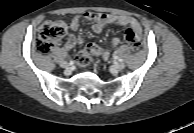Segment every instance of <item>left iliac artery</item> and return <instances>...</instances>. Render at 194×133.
Segmentation results:
<instances>
[{
    "label": "left iliac artery",
    "mask_w": 194,
    "mask_h": 133,
    "mask_svg": "<svg viewBox=\"0 0 194 133\" xmlns=\"http://www.w3.org/2000/svg\"><path fill=\"white\" fill-rule=\"evenodd\" d=\"M114 59H115V60H118V61H120V62H122V59L119 58L118 56H114Z\"/></svg>",
    "instance_id": "1"
}]
</instances>
